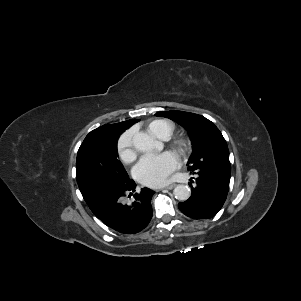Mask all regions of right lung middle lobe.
I'll use <instances>...</instances> for the list:
<instances>
[{"instance_id": "obj_1", "label": "right lung middle lobe", "mask_w": 301, "mask_h": 301, "mask_svg": "<svg viewBox=\"0 0 301 301\" xmlns=\"http://www.w3.org/2000/svg\"><path fill=\"white\" fill-rule=\"evenodd\" d=\"M117 140L102 133H89L78 150L76 179L89 207L102 186L129 179L117 158Z\"/></svg>"}]
</instances>
